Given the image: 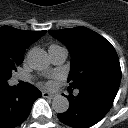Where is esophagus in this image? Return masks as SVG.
<instances>
[{
    "label": "esophagus",
    "mask_w": 128,
    "mask_h": 128,
    "mask_svg": "<svg viewBox=\"0 0 128 128\" xmlns=\"http://www.w3.org/2000/svg\"><path fill=\"white\" fill-rule=\"evenodd\" d=\"M42 96L44 98H51V99H53V98H55L57 96V94L56 93H52V92L44 91V92H42Z\"/></svg>",
    "instance_id": "obj_1"
}]
</instances>
